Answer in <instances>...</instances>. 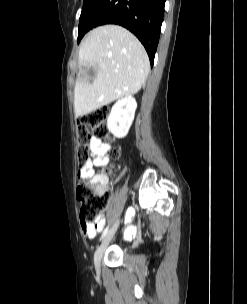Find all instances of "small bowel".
Returning <instances> with one entry per match:
<instances>
[{"label":"small bowel","mask_w":247,"mask_h":304,"mask_svg":"<svg viewBox=\"0 0 247 304\" xmlns=\"http://www.w3.org/2000/svg\"><path fill=\"white\" fill-rule=\"evenodd\" d=\"M90 151L92 158L89 159L81 167V169L78 172V178L81 180L92 179V181L102 180L104 183H106L107 181L106 177L102 175H96L95 168L104 167L108 164L109 146L106 143L102 142L101 139L97 137H93L90 140ZM104 225H105V218L103 216H100L93 224L86 225L81 223L82 230L89 239L95 238L97 233L103 230ZM134 235H135V229L131 227L127 228L124 233V237L126 239L131 238Z\"/></svg>","instance_id":"obj_1"}]
</instances>
